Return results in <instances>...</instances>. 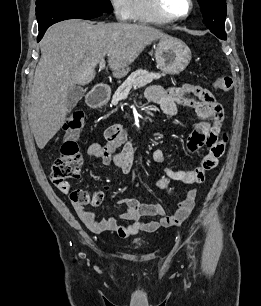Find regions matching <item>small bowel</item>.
<instances>
[{
    "mask_svg": "<svg viewBox=\"0 0 261 306\" xmlns=\"http://www.w3.org/2000/svg\"><path fill=\"white\" fill-rule=\"evenodd\" d=\"M146 98L159 105L168 116L177 113V105L191 106L195 109L200 123L190 134L187 146L190 151L206 147L207 152L201 165L193 169H173L167 165L163 150L153 152V160L164 167V173L172 180L185 184H201L206 172L213 169L225 150V142L218 137L223 121V109L212 94L197 85L186 84L182 87L163 89L152 86L146 91ZM106 143H92L87 154L101 159L106 165H115L123 174H129L133 168L135 151L132 142L126 140V133L120 125L114 124L105 130ZM103 198V192L98 191ZM196 198V190L187 192L179 202L176 211L167 215L163 206L158 203L145 204L135 198H125L121 202L126 210L109 218H98L84 205L73 202L74 209L85 226L94 233L115 232L121 238H127L139 231L153 232L160 227H171L182 224L190 215ZM145 216H157L158 221H142ZM128 221L129 224H120Z\"/></svg>",
    "mask_w": 261,
    "mask_h": 306,
    "instance_id": "obj_1",
    "label": "small bowel"
}]
</instances>
